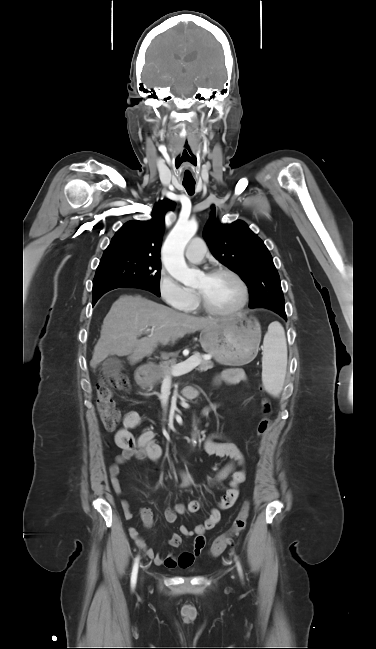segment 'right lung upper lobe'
<instances>
[{
    "label": "right lung upper lobe",
    "instance_id": "right-lung-upper-lobe-1",
    "mask_svg": "<svg viewBox=\"0 0 376 649\" xmlns=\"http://www.w3.org/2000/svg\"><path fill=\"white\" fill-rule=\"evenodd\" d=\"M173 209L172 201L163 200L155 204L151 220H133L125 223L116 232L103 255L137 253L160 257L165 213Z\"/></svg>",
    "mask_w": 376,
    "mask_h": 649
}]
</instances>
